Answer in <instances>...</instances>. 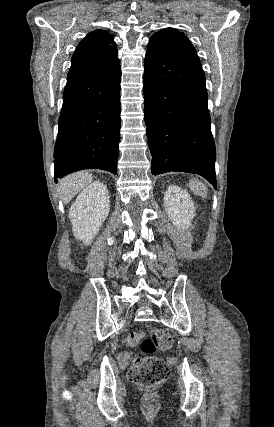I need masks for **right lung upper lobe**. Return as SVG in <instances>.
I'll list each match as a JSON object with an SVG mask.
<instances>
[{"mask_svg": "<svg viewBox=\"0 0 274 427\" xmlns=\"http://www.w3.org/2000/svg\"><path fill=\"white\" fill-rule=\"evenodd\" d=\"M117 62L119 59L113 36L105 30L92 31L73 54L67 82L99 74Z\"/></svg>", "mask_w": 274, "mask_h": 427, "instance_id": "obj_1", "label": "right lung upper lobe"}]
</instances>
